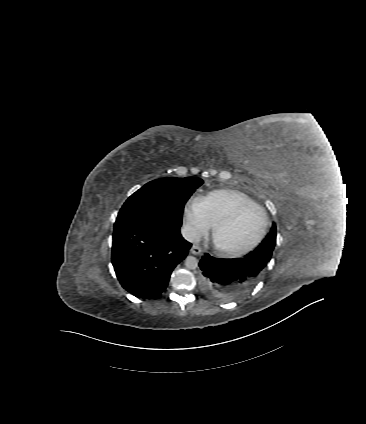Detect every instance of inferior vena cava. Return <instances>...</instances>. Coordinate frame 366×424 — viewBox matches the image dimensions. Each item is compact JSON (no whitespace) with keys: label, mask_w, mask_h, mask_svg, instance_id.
I'll return each mask as SVG.
<instances>
[{"label":"inferior vena cava","mask_w":366,"mask_h":424,"mask_svg":"<svg viewBox=\"0 0 366 424\" xmlns=\"http://www.w3.org/2000/svg\"><path fill=\"white\" fill-rule=\"evenodd\" d=\"M181 234L187 241L191 243H199L201 239V235L199 231L190 224H186L183 226L181 230Z\"/></svg>","instance_id":"1"}]
</instances>
